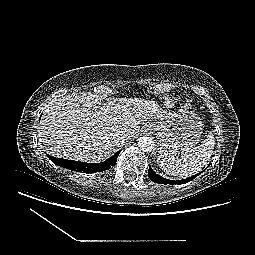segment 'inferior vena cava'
Masks as SVG:
<instances>
[{"instance_id": "obj_1", "label": "inferior vena cava", "mask_w": 255, "mask_h": 255, "mask_svg": "<svg viewBox=\"0 0 255 255\" xmlns=\"http://www.w3.org/2000/svg\"><path fill=\"white\" fill-rule=\"evenodd\" d=\"M116 139L120 143H124L127 140V137L125 134H116Z\"/></svg>"}]
</instances>
